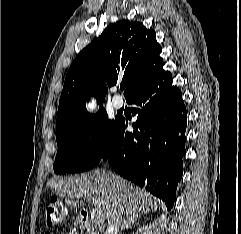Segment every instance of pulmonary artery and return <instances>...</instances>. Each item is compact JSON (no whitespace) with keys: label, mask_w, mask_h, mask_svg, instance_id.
<instances>
[{"label":"pulmonary artery","mask_w":241,"mask_h":234,"mask_svg":"<svg viewBox=\"0 0 241 234\" xmlns=\"http://www.w3.org/2000/svg\"><path fill=\"white\" fill-rule=\"evenodd\" d=\"M123 104H124V101L122 99L121 96L119 95H115L113 98H112V105L114 108L116 109H120L123 107Z\"/></svg>","instance_id":"pulmonary-artery-1"}]
</instances>
